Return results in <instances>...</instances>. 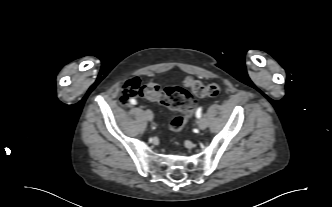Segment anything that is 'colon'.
Here are the masks:
<instances>
[{
	"label": "colon",
	"mask_w": 332,
	"mask_h": 207,
	"mask_svg": "<svg viewBox=\"0 0 332 207\" xmlns=\"http://www.w3.org/2000/svg\"><path fill=\"white\" fill-rule=\"evenodd\" d=\"M220 90V86L216 83L205 85L193 78L185 79L184 87H167L165 89H160L154 83L142 85L138 78H132L124 84L120 100L126 105L131 98L140 96L169 109L179 111L180 114L170 122L171 130L179 132L187 124L195 110L196 104L193 95L199 98L217 96Z\"/></svg>",
	"instance_id": "colon-1"
}]
</instances>
